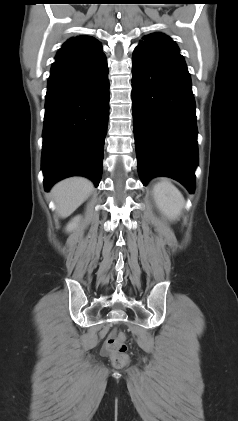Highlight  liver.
<instances>
[{"label":"liver","instance_id":"6515ba94","mask_svg":"<svg viewBox=\"0 0 238 421\" xmlns=\"http://www.w3.org/2000/svg\"><path fill=\"white\" fill-rule=\"evenodd\" d=\"M92 190V182L82 177H72L57 183L51 193L60 217L66 218L71 215L88 198Z\"/></svg>","mask_w":238,"mask_h":421}]
</instances>
